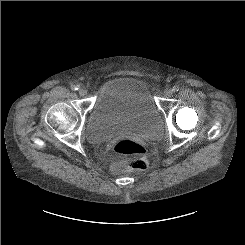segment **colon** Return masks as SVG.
Returning <instances> with one entry per match:
<instances>
[{
  "mask_svg": "<svg viewBox=\"0 0 245 245\" xmlns=\"http://www.w3.org/2000/svg\"><path fill=\"white\" fill-rule=\"evenodd\" d=\"M114 152L120 155L131 156L130 160L115 163L111 166V171L120 173L125 170L140 171L148 167L147 149L145 146L131 138L121 137L113 143Z\"/></svg>",
  "mask_w": 245,
  "mask_h": 245,
  "instance_id": "5ec220e1",
  "label": "colon"
}]
</instances>
